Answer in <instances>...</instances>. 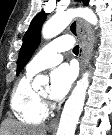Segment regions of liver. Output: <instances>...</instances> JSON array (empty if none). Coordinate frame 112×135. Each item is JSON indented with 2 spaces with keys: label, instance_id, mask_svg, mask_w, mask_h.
Instances as JSON below:
<instances>
[{
  "label": "liver",
  "instance_id": "6515ba94",
  "mask_svg": "<svg viewBox=\"0 0 112 135\" xmlns=\"http://www.w3.org/2000/svg\"><path fill=\"white\" fill-rule=\"evenodd\" d=\"M2 135H46L45 126H25L14 120L3 122Z\"/></svg>",
  "mask_w": 112,
  "mask_h": 135
}]
</instances>
